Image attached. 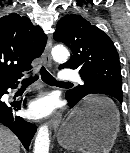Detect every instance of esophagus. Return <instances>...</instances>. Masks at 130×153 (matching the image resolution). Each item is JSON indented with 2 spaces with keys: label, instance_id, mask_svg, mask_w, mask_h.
I'll use <instances>...</instances> for the list:
<instances>
[{
  "label": "esophagus",
  "instance_id": "1",
  "mask_svg": "<svg viewBox=\"0 0 130 153\" xmlns=\"http://www.w3.org/2000/svg\"><path fill=\"white\" fill-rule=\"evenodd\" d=\"M51 48H52V40L49 37L43 53V61L47 66H51L52 64V58L50 53ZM61 120H62V114L61 113L56 114L50 122L51 127L56 129L59 126Z\"/></svg>",
  "mask_w": 130,
  "mask_h": 153
}]
</instances>
